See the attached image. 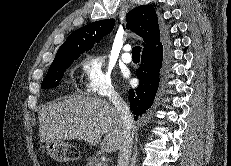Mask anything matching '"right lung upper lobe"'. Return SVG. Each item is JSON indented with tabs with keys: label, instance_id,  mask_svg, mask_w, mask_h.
Here are the masks:
<instances>
[{
	"label": "right lung upper lobe",
	"instance_id": "obj_1",
	"mask_svg": "<svg viewBox=\"0 0 231 166\" xmlns=\"http://www.w3.org/2000/svg\"><path fill=\"white\" fill-rule=\"evenodd\" d=\"M126 28L144 39L143 53H149L160 42V27L156 11L149 5H142L132 9L126 15ZM114 27V20H100L90 23L71 33L63 45L58 49L55 58L63 55L79 56L90 50L95 42L109 34Z\"/></svg>",
	"mask_w": 231,
	"mask_h": 166
}]
</instances>
